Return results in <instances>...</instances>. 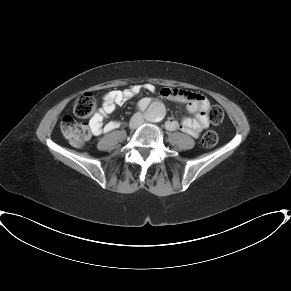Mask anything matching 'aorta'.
I'll return each instance as SVG.
<instances>
[{
	"instance_id": "aorta-1",
	"label": "aorta",
	"mask_w": 291,
	"mask_h": 291,
	"mask_svg": "<svg viewBox=\"0 0 291 291\" xmlns=\"http://www.w3.org/2000/svg\"><path fill=\"white\" fill-rule=\"evenodd\" d=\"M164 116V108L162 105L160 107H156L154 104L150 106V108L147 111V117L151 121H159Z\"/></svg>"
}]
</instances>
